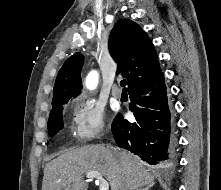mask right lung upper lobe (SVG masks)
Segmentation results:
<instances>
[{
    "label": "right lung upper lobe",
    "mask_w": 221,
    "mask_h": 190,
    "mask_svg": "<svg viewBox=\"0 0 221 190\" xmlns=\"http://www.w3.org/2000/svg\"><path fill=\"white\" fill-rule=\"evenodd\" d=\"M109 50L117 62V74L127 78L128 90L150 81L161 73L154 45L141 27L128 19L119 20L109 38ZM84 56L75 53L69 57L56 78L52 104L71 99L82 89L80 72Z\"/></svg>",
    "instance_id": "obj_1"
}]
</instances>
